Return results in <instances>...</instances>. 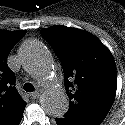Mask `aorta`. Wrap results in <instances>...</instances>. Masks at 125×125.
<instances>
[{
  "mask_svg": "<svg viewBox=\"0 0 125 125\" xmlns=\"http://www.w3.org/2000/svg\"><path fill=\"white\" fill-rule=\"evenodd\" d=\"M22 66L44 87L40 96L43 110L53 117L62 118L68 110V99L57 83L56 71L50 52L41 42L28 40L19 52Z\"/></svg>",
  "mask_w": 125,
  "mask_h": 125,
  "instance_id": "1",
  "label": "aorta"
}]
</instances>
